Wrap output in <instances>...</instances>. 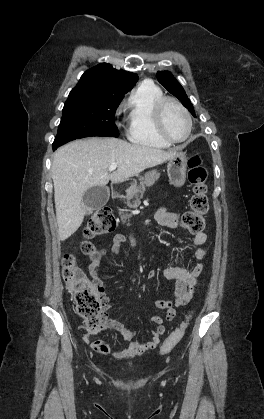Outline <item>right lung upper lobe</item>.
<instances>
[{
  "instance_id": "obj_1",
  "label": "right lung upper lobe",
  "mask_w": 264,
  "mask_h": 419,
  "mask_svg": "<svg viewBox=\"0 0 264 419\" xmlns=\"http://www.w3.org/2000/svg\"><path fill=\"white\" fill-rule=\"evenodd\" d=\"M138 76L124 70H116L108 63L87 70L74 89L112 95L126 94L137 82Z\"/></svg>"
}]
</instances>
